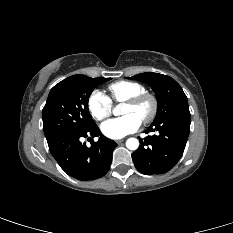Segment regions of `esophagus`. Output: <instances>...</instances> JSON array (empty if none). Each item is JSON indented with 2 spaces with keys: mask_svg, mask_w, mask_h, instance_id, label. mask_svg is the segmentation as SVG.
I'll return each instance as SVG.
<instances>
[{
  "mask_svg": "<svg viewBox=\"0 0 233 233\" xmlns=\"http://www.w3.org/2000/svg\"><path fill=\"white\" fill-rule=\"evenodd\" d=\"M123 141H124L123 139L117 140L116 143H117V144H121Z\"/></svg>",
  "mask_w": 233,
  "mask_h": 233,
  "instance_id": "esophagus-1",
  "label": "esophagus"
}]
</instances>
